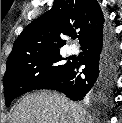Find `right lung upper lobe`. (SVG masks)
Wrapping results in <instances>:
<instances>
[{"label": "right lung upper lobe", "mask_w": 122, "mask_h": 123, "mask_svg": "<svg viewBox=\"0 0 122 123\" xmlns=\"http://www.w3.org/2000/svg\"><path fill=\"white\" fill-rule=\"evenodd\" d=\"M104 17L96 0H54L51 10L31 22L14 42L10 67L30 57L53 53L65 44L61 37L79 29L80 44L103 28Z\"/></svg>", "instance_id": "right-lung-upper-lobe-1"}]
</instances>
